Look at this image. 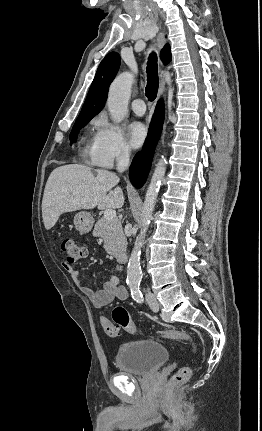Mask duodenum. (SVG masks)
Wrapping results in <instances>:
<instances>
[{
    "mask_svg": "<svg viewBox=\"0 0 262 431\" xmlns=\"http://www.w3.org/2000/svg\"><path fill=\"white\" fill-rule=\"evenodd\" d=\"M128 261V255L126 253H121L118 256V262L121 264H125Z\"/></svg>",
    "mask_w": 262,
    "mask_h": 431,
    "instance_id": "duodenum-1",
    "label": "duodenum"
}]
</instances>
